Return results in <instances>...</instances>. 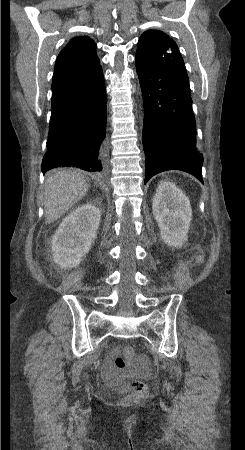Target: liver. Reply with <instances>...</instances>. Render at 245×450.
Returning a JSON list of instances; mask_svg holds the SVG:
<instances>
[{"label":"liver","mask_w":245,"mask_h":450,"mask_svg":"<svg viewBox=\"0 0 245 450\" xmlns=\"http://www.w3.org/2000/svg\"><path fill=\"white\" fill-rule=\"evenodd\" d=\"M90 184L82 174L59 169L50 173L44 185V208L47 223L62 217L88 192Z\"/></svg>","instance_id":"1"}]
</instances>
